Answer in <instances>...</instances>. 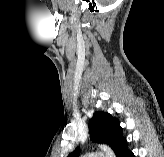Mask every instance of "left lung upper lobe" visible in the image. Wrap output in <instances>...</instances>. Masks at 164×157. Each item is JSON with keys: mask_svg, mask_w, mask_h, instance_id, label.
Segmentation results:
<instances>
[{"mask_svg": "<svg viewBox=\"0 0 164 157\" xmlns=\"http://www.w3.org/2000/svg\"><path fill=\"white\" fill-rule=\"evenodd\" d=\"M90 138L94 142L109 144L113 150L125 138L119 120L107 112L96 111L89 121ZM80 148H76L67 157H79Z\"/></svg>", "mask_w": 164, "mask_h": 157, "instance_id": "obj_1", "label": "left lung upper lobe"}]
</instances>
